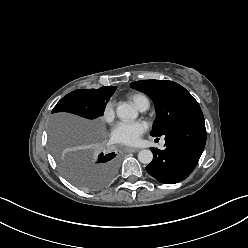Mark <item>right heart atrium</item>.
<instances>
[{
	"instance_id": "1",
	"label": "right heart atrium",
	"mask_w": 248,
	"mask_h": 248,
	"mask_svg": "<svg viewBox=\"0 0 248 248\" xmlns=\"http://www.w3.org/2000/svg\"><path fill=\"white\" fill-rule=\"evenodd\" d=\"M115 118V109L114 104L111 101L105 103L102 111V119L107 122L111 123Z\"/></svg>"
}]
</instances>
